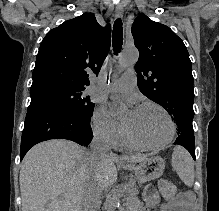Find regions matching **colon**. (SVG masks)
Masks as SVG:
<instances>
[{"label": "colon", "instance_id": "obj_1", "mask_svg": "<svg viewBox=\"0 0 219 211\" xmlns=\"http://www.w3.org/2000/svg\"><path fill=\"white\" fill-rule=\"evenodd\" d=\"M159 188L167 202L171 203L175 201L176 190L172 182L165 179L161 180L159 183Z\"/></svg>", "mask_w": 219, "mask_h": 211}]
</instances>
